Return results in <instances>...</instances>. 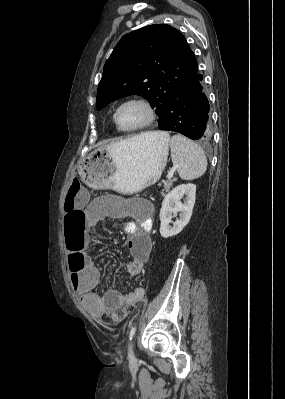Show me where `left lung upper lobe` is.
<instances>
[{
	"label": "left lung upper lobe",
	"instance_id": "1",
	"mask_svg": "<svg viewBox=\"0 0 285 399\" xmlns=\"http://www.w3.org/2000/svg\"><path fill=\"white\" fill-rule=\"evenodd\" d=\"M196 69L194 53L177 29L156 24L130 32L105 63L97 109L124 96L141 95L156 108L161 126L176 87Z\"/></svg>",
	"mask_w": 285,
	"mask_h": 399
}]
</instances>
